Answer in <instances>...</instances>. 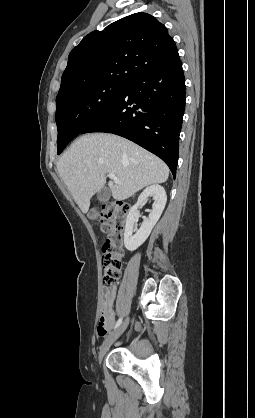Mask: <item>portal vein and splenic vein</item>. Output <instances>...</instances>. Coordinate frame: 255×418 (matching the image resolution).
I'll use <instances>...</instances> for the list:
<instances>
[{"label": "portal vein and splenic vein", "mask_w": 255, "mask_h": 418, "mask_svg": "<svg viewBox=\"0 0 255 418\" xmlns=\"http://www.w3.org/2000/svg\"><path fill=\"white\" fill-rule=\"evenodd\" d=\"M108 177H109L110 179L114 180L116 183L120 184L119 179L115 176V174H114V173H109V174H108Z\"/></svg>", "instance_id": "portal-vein-and-splenic-vein-1"}]
</instances>
